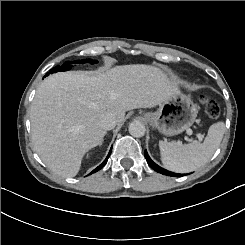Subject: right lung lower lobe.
I'll return each instance as SVG.
<instances>
[{"label": "right lung lower lobe", "mask_w": 245, "mask_h": 245, "mask_svg": "<svg viewBox=\"0 0 245 245\" xmlns=\"http://www.w3.org/2000/svg\"><path fill=\"white\" fill-rule=\"evenodd\" d=\"M111 151H112V148L110 149V152H109L107 158L103 161V163H102L101 165H99L96 169H94V170L91 172V174L94 173V172H97L98 170H100V169L107 163V160H108V158H109V156H110V154H111Z\"/></svg>", "instance_id": "1"}]
</instances>
